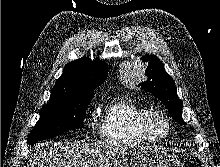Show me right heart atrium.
Masks as SVG:
<instances>
[{"mask_svg":"<svg viewBox=\"0 0 220 167\" xmlns=\"http://www.w3.org/2000/svg\"><path fill=\"white\" fill-rule=\"evenodd\" d=\"M95 124H96V118H95V116H92L90 119V125L94 126Z\"/></svg>","mask_w":220,"mask_h":167,"instance_id":"1","label":"right heart atrium"}]
</instances>
